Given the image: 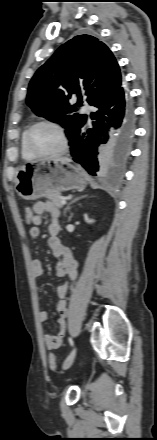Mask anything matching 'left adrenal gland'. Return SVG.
Segmentation results:
<instances>
[{"label":"left adrenal gland","instance_id":"a2214340","mask_svg":"<svg viewBox=\"0 0 157 440\" xmlns=\"http://www.w3.org/2000/svg\"><path fill=\"white\" fill-rule=\"evenodd\" d=\"M85 197H87V196L84 195V196L77 197V198L73 199V200L67 205V207L65 208V210H64V215H65L66 212L70 209V205H71V204H73V203L77 202L78 200L83 199V198H85Z\"/></svg>","mask_w":157,"mask_h":440}]
</instances>
